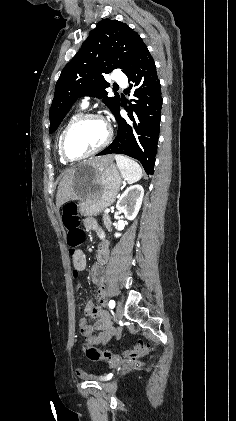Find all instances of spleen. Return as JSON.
<instances>
[{"label": "spleen", "mask_w": 236, "mask_h": 421, "mask_svg": "<svg viewBox=\"0 0 236 421\" xmlns=\"http://www.w3.org/2000/svg\"><path fill=\"white\" fill-rule=\"evenodd\" d=\"M115 160L121 174L129 184L137 182L142 178V168L134 158H128V156H122V154H116Z\"/></svg>", "instance_id": "3e777b00"}]
</instances>
